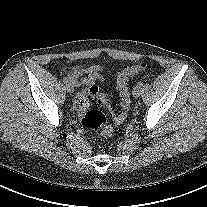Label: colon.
Here are the masks:
<instances>
[{
    "label": "colon",
    "instance_id": "colon-1",
    "mask_svg": "<svg viewBox=\"0 0 207 207\" xmlns=\"http://www.w3.org/2000/svg\"><path fill=\"white\" fill-rule=\"evenodd\" d=\"M146 64H135L125 66L117 75V90L121 99L122 110L119 113H112V120L115 124H122L128 114L131 105L128 81L133 76L143 72ZM93 97L98 104L107 108L111 107V99L100 92L97 85L88 86L78 93L74 99V108L81 117L84 127L99 130L98 137H109L113 133V128L106 123L105 115L98 110H90L89 98Z\"/></svg>",
    "mask_w": 207,
    "mask_h": 207
}]
</instances>
